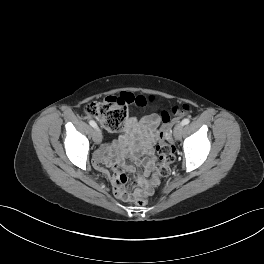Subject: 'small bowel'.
I'll return each mask as SVG.
<instances>
[{"mask_svg":"<svg viewBox=\"0 0 264 264\" xmlns=\"http://www.w3.org/2000/svg\"><path fill=\"white\" fill-rule=\"evenodd\" d=\"M157 124L156 115L145 117L142 121L129 117L119 141L106 144L95 153L96 168L105 171V165H107L111 169L113 191L118 197L122 198L120 195L127 190L126 171L137 172L134 166L126 164V157H131L136 165L142 164L144 167L143 172H138V182H142L143 176L153 168L156 160L153 150L154 129ZM130 136L137 141L134 147H129ZM144 155L145 158H143Z\"/></svg>","mask_w":264,"mask_h":264,"instance_id":"obj_1","label":"small bowel"}]
</instances>
